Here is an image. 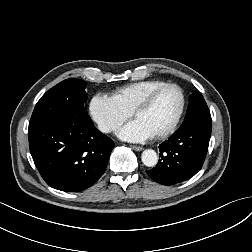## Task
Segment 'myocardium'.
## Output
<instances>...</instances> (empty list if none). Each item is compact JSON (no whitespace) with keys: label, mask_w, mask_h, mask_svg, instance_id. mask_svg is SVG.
Masks as SVG:
<instances>
[{"label":"myocardium","mask_w":252,"mask_h":252,"mask_svg":"<svg viewBox=\"0 0 252 252\" xmlns=\"http://www.w3.org/2000/svg\"><path fill=\"white\" fill-rule=\"evenodd\" d=\"M167 88H175L180 95V106L178 109V112L173 120V122L171 123V125L164 130L163 132L154 135V137L156 139H165L167 137H169L171 134L174 133V131L176 130L177 126L180 123V120L183 116L184 110H185V106H186V96L185 93L183 91V89L175 83H165L153 90H151L141 101H139L137 103V105L134 107V109L132 110V116L135 117V115L142 111L145 110L146 108H148L151 103L153 102V100L155 99V97L163 90L167 89Z\"/></svg>","instance_id":"obj_1"}]
</instances>
